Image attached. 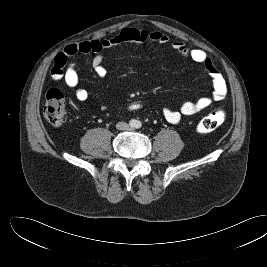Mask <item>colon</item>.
Returning <instances> with one entry per match:
<instances>
[{"label":"colon","instance_id":"5ec220e1","mask_svg":"<svg viewBox=\"0 0 267 267\" xmlns=\"http://www.w3.org/2000/svg\"><path fill=\"white\" fill-rule=\"evenodd\" d=\"M128 107L131 110H136L140 108V105L133 102ZM43 114L45 119L54 126H61L65 123L67 112L64 96L60 90L52 88L47 92ZM225 117V112L222 109H216L199 122L197 131L201 134L210 133L224 123Z\"/></svg>","mask_w":267,"mask_h":267}]
</instances>
